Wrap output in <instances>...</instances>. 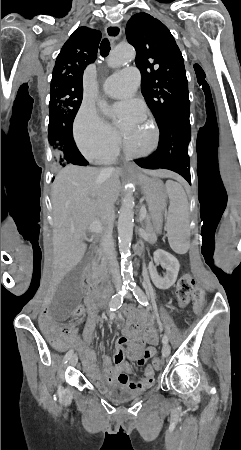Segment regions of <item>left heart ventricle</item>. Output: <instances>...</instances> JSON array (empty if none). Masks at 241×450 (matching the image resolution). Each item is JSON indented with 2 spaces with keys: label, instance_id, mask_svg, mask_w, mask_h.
I'll return each instance as SVG.
<instances>
[{
  "label": "left heart ventricle",
  "instance_id": "1",
  "mask_svg": "<svg viewBox=\"0 0 241 450\" xmlns=\"http://www.w3.org/2000/svg\"><path fill=\"white\" fill-rule=\"evenodd\" d=\"M152 122L148 116H144L142 120L136 123H130L125 126L123 134L126 137L127 147L125 150L131 157H136L138 153H145L146 144L151 139V131L153 127H149Z\"/></svg>",
  "mask_w": 241,
  "mask_h": 450
}]
</instances>
